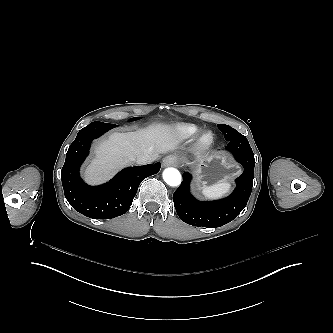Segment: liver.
I'll list each match as a JSON object with an SVG mask.
<instances>
[{"mask_svg":"<svg viewBox=\"0 0 333 333\" xmlns=\"http://www.w3.org/2000/svg\"><path fill=\"white\" fill-rule=\"evenodd\" d=\"M175 139L172 126L163 123L135 133H113L108 140L96 146V158L85 170L87 180H105L117 168L136 162V158L143 154H150L156 159L158 153H165L174 147L177 143Z\"/></svg>","mask_w":333,"mask_h":333,"instance_id":"1","label":"liver"}]
</instances>
